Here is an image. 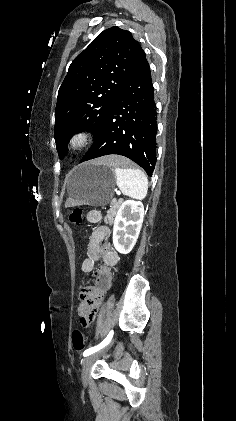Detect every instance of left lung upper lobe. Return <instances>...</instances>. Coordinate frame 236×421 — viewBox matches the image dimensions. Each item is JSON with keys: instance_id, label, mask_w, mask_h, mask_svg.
Segmentation results:
<instances>
[{"instance_id": "obj_1", "label": "left lung upper lobe", "mask_w": 236, "mask_h": 421, "mask_svg": "<svg viewBox=\"0 0 236 421\" xmlns=\"http://www.w3.org/2000/svg\"><path fill=\"white\" fill-rule=\"evenodd\" d=\"M141 46L129 31L104 30L71 63L60 86L54 138L63 158L73 134L98 132L132 70Z\"/></svg>"}]
</instances>
